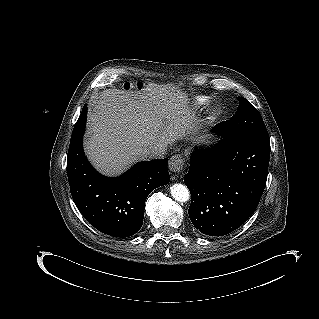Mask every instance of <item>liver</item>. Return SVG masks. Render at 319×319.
<instances>
[{
  "mask_svg": "<svg viewBox=\"0 0 319 319\" xmlns=\"http://www.w3.org/2000/svg\"><path fill=\"white\" fill-rule=\"evenodd\" d=\"M187 97L167 85L143 91H102L89 104L85 152L93 166L111 176L146 160L142 150L163 147L192 128Z\"/></svg>",
  "mask_w": 319,
  "mask_h": 319,
  "instance_id": "6515ba94",
  "label": "liver"
}]
</instances>
